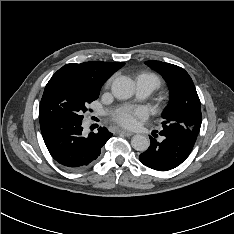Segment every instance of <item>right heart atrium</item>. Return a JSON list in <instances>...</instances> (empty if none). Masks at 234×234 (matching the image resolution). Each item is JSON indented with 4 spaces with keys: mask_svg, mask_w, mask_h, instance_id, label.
I'll use <instances>...</instances> for the list:
<instances>
[{
    "mask_svg": "<svg viewBox=\"0 0 234 234\" xmlns=\"http://www.w3.org/2000/svg\"><path fill=\"white\" fill-rule=\"evenodd\" d=\"M110 83H111V80H109V81L107 82V86L110 85Z\"/></svg>",
    "mask_w": 234,
    "mask_h": 234,
    "instance_id": "1",
    "label": "right heart atrium"
}]
</instances>
